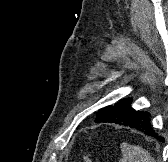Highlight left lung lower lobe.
<instances>
[{
    "mask_svg": "<svg viewBox=\"0 0 168 162\" xmlns=\"http://www.w3.org/2000/svg\"><path fill=\"white\" fill-rule=\"evenodd\" d=\"M131 99H123L113 106L103 108L101 117L95 119V122H109L127 127L136 128L144 134L151 136L161 142L164 138L160 137L150 124L148 112H139L131 108Z\"/></svg>",
    "mask_w": 168,
    "mask_h": 162,
    "instance_id": "0a47b994",
    "label": "left lung lower lobe"
}]
</instances>
